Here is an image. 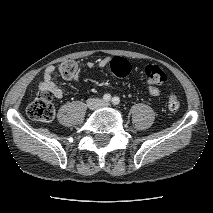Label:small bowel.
I'll return each mask as SVG.
<instances>
[{
	"label": "small bowel",
	"mask_w": 213,
	"mask_h": 213,
	"mask_svg": "<svg viewBox=\"0 0 213 213\" xmlns=\"http://www.w3.org/2000/svg\"><path fill=\"white\" fill-rule=\"evenodd\" d=\"M110 63H111L110 58H104V59L99 60L97 63L88 62L87 67L89 69H93L97 66L98 68L102 69V68H105ZM55 71H56V68L53 65H49L45 68L44 73H43V78H42V81L40 82L39 88L41 91L51 92L55 98L60 99L63 97V90L54 81ZM72 79L76 80L77 75ZM149 94L153 97H159L160 91L157 87H150Z\"/></svg>",
	"instance_id": "obj_1"
}]
</instances>
